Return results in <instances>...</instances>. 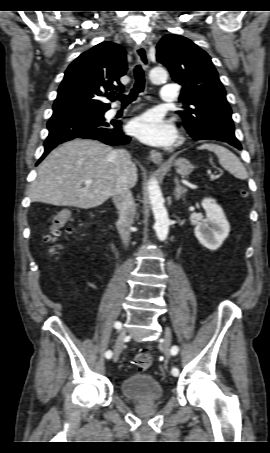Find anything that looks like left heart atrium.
I'll return each mask as SVG.
<instances>
[{"label":"left heart atrium","mask_w":270,"mask_h":453,"mask_svg":"<svg viewBox=\"0 0 270 453\" xmlns=\"http://www.w3.org/2000/svg\"><path fill=\"white\" fill-rule=\"evenodd\" d=\"M130 132L141 141L166 146L175 139L173 125L158 113H147L130 122Z\"/></svg>","instance_id":"left-heart-atrium-1"}]
</instances>
